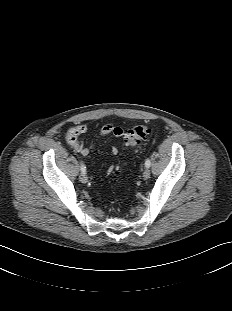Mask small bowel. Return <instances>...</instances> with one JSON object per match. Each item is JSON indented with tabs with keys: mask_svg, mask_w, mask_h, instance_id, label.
<instances>
[{
	"mask_svg": "<svg viewBox=\"0 0 232 311\" xmlns=\"http://www.w3.org/2000/svg\"><path fill=\"white\" fill-rule=\"evenodd\" d=\"M88 130L87 124H79L73 127H70L65 134V141L68 146H70L76 153H79L83 156H88L90 150L93 148V144L87 146L80 139V137L85 134ZM108 135H113L115 137H121L124 135V130L121 127L114 126L112 124H105L99 132L98 138H102ZM113 155L118 153L117 148H112L111 150Z\"/></svg>",
	"mask_w": 232,
	"mask_h": 311,
	"instance_id": "c3829d8e",
	"label": "small bowel"
}]
</instances>
